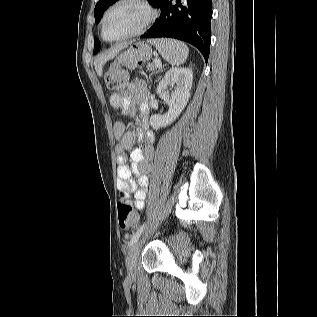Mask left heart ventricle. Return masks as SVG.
<instances>
[{
  "instance_id": "left-heart-ventricle-1",
  "label": "left heart ventricle",
  "mask_w": 317,
  "mask_h": 317,
  "mask_svg": "<svg viewBox=\"0 0 317 317\" xmlns=\"http://www.w3.org/2000/svg\"><path fill=\"white\" fill-rule=\"evenodd\" d=\"M146 19L145 10L137 4L126 3L116 7L105 22V36L108 39L121 37L138 27Z\"/></svg>"
}]
</instances>
